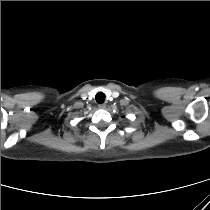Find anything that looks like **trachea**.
Returning a JSON list of instances; mask_svg holds the SVG:
<instances>
[{"label":"trachea","instance_id":"1","mask_svg":"<svg viewBox=\"0 0 210 210\" xmlns=\"http://www.w3.org/2000/svg\"><path fill=\"white\" fill-rule=\"evenodd\" d=\"M97 103L102 104L105 101V94L103 92H98L95 96Z\"/></svg>","mask_w":210,"mask_h":210}]
</instances>
